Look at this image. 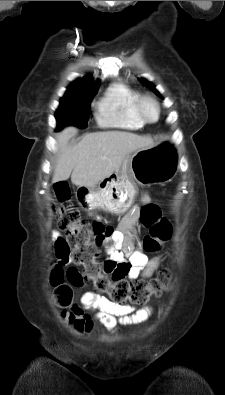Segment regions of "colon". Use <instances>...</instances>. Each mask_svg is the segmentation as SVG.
<instances>
[{
  "label": "colon",
  "mask_w": 225,
  "mask_h": 395,
  "mask_svg": "<svg viewBox=\"0 0 225 395\" xmlns=\"http://www.w3.org/2000/svg\"><path fill=\"white\" fill-rule=\"evenodd\" d=\"M51 208L57 216L59 227L65 231L70 240L72 254L70 262L82 267V279L90 283L95 292L106 294L110 301L123 305L127 302L142 305L151 296L167 290L170 284V273L162 270L150 280L128 281L125 278H114L104 271V263L98 260L99 252L96 241L92 240L90 230L81 220L80 213L70 200V190L64 183L54 186V197ZM141 222L149 229L142 241L146 252H155L172 236L170 222L161 216L155 205H146L141 210ZM50 285L54 302L59 307L72 304L73 291L71 281L61 266L55 265L50 272Z\"/></svg>",
  "instance_id": "1"
}]
</instances>
